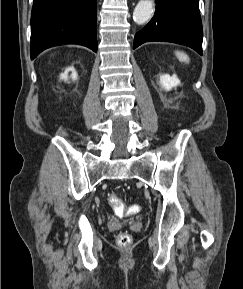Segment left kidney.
Masks as SVG:
<instances>
[{
	"label": "left kidney",
	"instance_id": "obj_1",
	"mask_svg": "<svg viewBox=\"0 0 243 289\" xmlns=\"http://www.w3.org/2000/svg\"><path fill=\"white\" fill-rule=\"evenodd\" d=\"M160 84L165 90L170 91L172 88L178 86L180 81L175 75L170 76L168 74H163L160 75Z\"/></svg>",
	"mask_w": 243,
	"mask_h": 289
}]
</instances>
